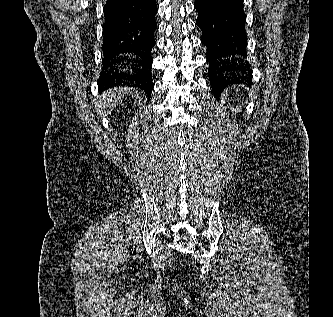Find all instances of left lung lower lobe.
Here are the masks:
<instances>
[{
	"instance_id": "obj_1",
	"label": "left lung lower lobe",
	"mask_w": 333,
	"mask_h": 317,
	"mask_svg": "<svg viewBox=\"0 0 333 317\" xmlns=\"http://www.w3.org/2000/svg\"><path fill=\"white\" fill-rule=\"evenodd\" d=\"M244 0H196V25L202 30L201 42L207 47L209 79L216 98L233 84H250L248 67L237 62L246 55L247 35Z\"/></svg>"
}]
</instances>
